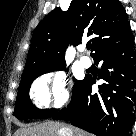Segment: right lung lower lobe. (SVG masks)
I'll return each instance as SVG.
<instances>
[{
  "instance_id": "right-lung-lower-lobe-1",
  "label": "right lung lower lobe",
  "mask_w": 136,
  "mask_h": 136,
  "mask_svg": "<svg viewBox=\"0 0 136 136\" xmlns=\"http://www.w3.org/2000/svg\"><path fill=\"white\" fill-rule=\"evenodd\" d=\"M93 58L97 64L102 63L98 78L104 83L99 92L91 89L95 78L86 76L74 91L68 108L51 117L70 120L74 126L97 136H131L136 112L134 36L102 48Z\"/></svg>"
}]
</instances>
